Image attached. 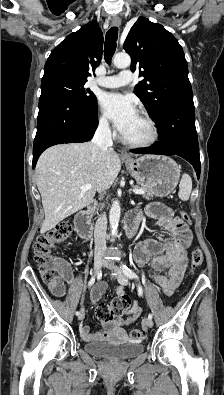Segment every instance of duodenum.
Instances as JSON below:
<instances>
[{"mask_svg":"<svg viewBox=\"0 0 224 395\" xmlns=\"http://www.w3.org/2000/svg\"><path fill=\"white\" fill-rule=\"evenodd\" d=\"M95 204L96 202L93 201L89 206L80 211L74 219L75 230L78 236L82 239H89L92 235L91 217L95 208ZM141 217V212L134 211L129 213L125 218L124 227L126 237L128 239L135 235Z\"/></svg>","mask_w":224,"mask_h":395,"instance_id":"duodenum-1","label":"duodenum"}]
</instances>
